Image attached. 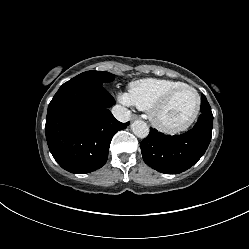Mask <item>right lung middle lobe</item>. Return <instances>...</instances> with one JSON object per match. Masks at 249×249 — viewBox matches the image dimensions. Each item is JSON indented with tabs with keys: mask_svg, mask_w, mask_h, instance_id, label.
<instances>
[{
	"mask_svg": "<svg viewBox=\"0 0 249 249\" xmlns=\"http://www.w3.org/2000/svg\"><path fill=\"white\" fill-rule=\"evenodd\" d=\"M74 79H85L93 82L96 85H103L113 81L115 78L111 73L99 71H87L74 77Z\"/></svg>",
	"mask_w": 249,
	"mask_h": 249,
	"instance_id": "right-lung-middle-lobe-1",
	"label": "right lung middle lobe"
}]
</instances>
